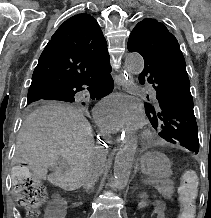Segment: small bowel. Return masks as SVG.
<instances>
[{
    "label": "small bowel",
    "instance_id": "obj_1",
    "mask_svg": "<svg viewBox=\"0 0 211 218\" xmlns=\"http://www.w3.org/2000/svg\"><path fill=\"white\" fill-rule=\"evenodd\" d=\"M166 207L161 202H156L153 205V215L154 218H165ZM58 209L54 206L48 207L46 210V218H55L57 216Z\"/></svg>",
    "mask_w": 211,
    "mask_h": 218
}]
</instances>
